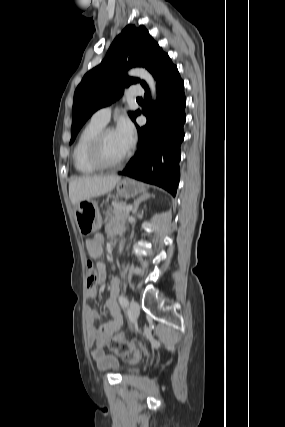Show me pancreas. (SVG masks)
<instances>
[{
    "instance_id": "1",
    "label": "pancreas",
    "mask_w": 285,
    "mask_h": 427,
    "mask_svg": "<svg viewBox=\"0 0 285 427\" xmlns=\"http://www.w3.org/2000/svg\"><path fill=\"white\" fill-rule=\"evenodd\" d=\"M129 215V211L126 209L125 203L113 205L111 222H124Z\"/></svg>"
}]
</instances>
